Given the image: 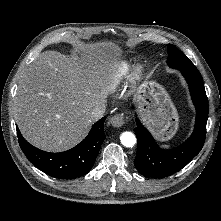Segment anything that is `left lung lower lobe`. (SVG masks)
<instances>
[{"mask_svg":"<svg viewBox=\"0 0 221 221\" xmlns=\"http://www.w3.org/2000/svg\"><path fill=\"white\" fill-rule=\"evenodd\" d=\"M188 82L196 107V123L191 137L181 146L163 150L159 148L150 132L136 119L134 129L137 137V154L134 165L140 174L153 178L167 177L184 168L202 149L208 117V100L197 68L179 69Z\"/></svg>","mask_w":221,"mask_h":221,"instance_id":"left-lung-lower-lobe-1","label":"left lung lower lobe"}]
</instances>
